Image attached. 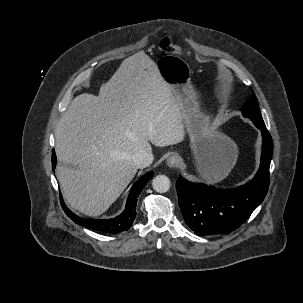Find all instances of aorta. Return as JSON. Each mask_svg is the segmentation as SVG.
I'll use <instances>...</instances> for the list:
<instances>
[{"label": "aorta", "instance_id": "aorta-1", "mask_svg": "<svg viewBox=\"0 0 303 303\" xmlns=\"http://www.w3.org/2000/svg\"><path fill=\"white\" fill-rule=\"evenodd\" d=\"M153 189L159 193H165L170 189V179L165 175H157L152 181Z\"/></svg>", "mask_w": 303, "mask_h": 303}]
</instances>
